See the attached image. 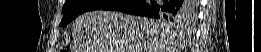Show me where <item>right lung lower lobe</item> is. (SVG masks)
Masks as SVG:
<instances>
[{"label":"right lung lower lobe","instance_id":"obj_1","mask_svg":"<svg viewBox=\"0 0 261 52\" xmlns=\"http://www.w3.org/2000/svg\"><path fill=\"white\" fill-rule=\"evenodd\" d=\"M102 9L158 18L160 16L174 17L181 15L187 7L186 1L183 2V0H124L115 1Z\"/></svg>","mask_w":261,"mask_h":52}]
</instances>
